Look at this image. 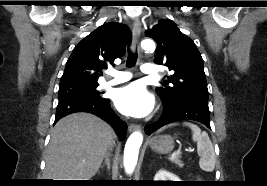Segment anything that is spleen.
Instances as JSON below:
<instances>
[{"label":"spleen","mask_w":267,"mask_h":186,"mask_svg":"<svg viewBox=\"0 0 267 186\" xmlns=\"http://www.w3.org/2000/svg\"><path fill=\"white\" fill-rule=\"evenodd\" d=\"M184 125L188 126L192 130V139L197 143V152L200 156L199 165L202 170L211 172L215 168L216 157L214 148L208 134L189 122H184Z\"/></svg>","instance_id":"1"}]
</instances>
